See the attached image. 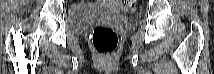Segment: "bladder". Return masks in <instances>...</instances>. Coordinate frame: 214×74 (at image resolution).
I'll use <instances>...</instances> for the list:
<instances>
[{
  "instance_id": "bladder-1",
  "label": "bladder",
  "mask_w": 214,
  "mask_h": 74,
  "mask_svg": "<svg viewBox=\"0 0 214 74\" xmlns=\"http://www.w3.org/2000/svg\"><path fill=\"white\" fill-rule=\"evenodd\" d=\"M132 14L127 12H117L103 7L75 6L68 13V23L73 31L81 29L83 26L93 22L116 19L118 21H129Z\"/></svg>"
}]
</instances>
